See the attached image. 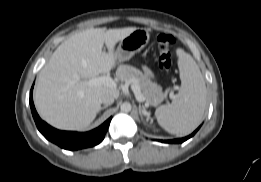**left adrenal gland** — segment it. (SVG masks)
<instances>
[{
	"instance_id": "left-adrenal-gland-1",
	"label": "left adrenal gland",
	"mask_w": 261,
	"mask_h": 182,
	"mask_svg": "<svg viewBox=\"0 0 261 182\" xmlns=\"http://www.w3.org/2000/svg\"><path fill=\"white\" fill-rule=\"evenodd\" d=\"M139 112H140L142 119H143V117H146V121L149 120L150 114L144 108H142L141 106H139Z\"/></svg>"
}]
</instances>
